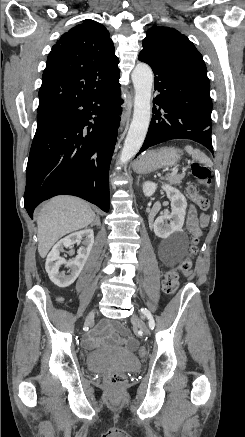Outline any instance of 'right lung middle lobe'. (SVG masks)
Returning <instances> with one entry per match:
<instances>
[{
  "label": "right lung middle lobe",
  "mask_w": 245,
  "mask_h": 437,
  "mask_svg": "<svg viewBox=\"0 0 245 437\" xmlns=\"http://www.w3.org/2000/svg\"><path fill=\"white\" fill-rule=\"evenodd\" d=\"M44 112H38L37 119L43 115Z\"/></svg>",
  "instance_id": "1"
}]
</instances>
